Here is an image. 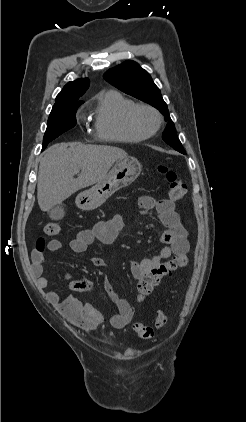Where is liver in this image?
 Wrapping results in <instances>:
<instances>
[{"mask_svg": "<svg viewBox=\"0 0 246 422\" xmlns=\"http://www.w3.org/2000/svg\"><path fill=\"white\" fill-rule=\"evenodd\" d=\"M127 157L117 147L55 144L46 149L40 159L37 199L42 211H48L80 189L100 182L112 165ZM81 170L78 178L74 175Z\"/></svg>", "mask_w": 246, "mask_h": 422, "instance_id": "obj_1", "label": "liver"}]
</instances>
